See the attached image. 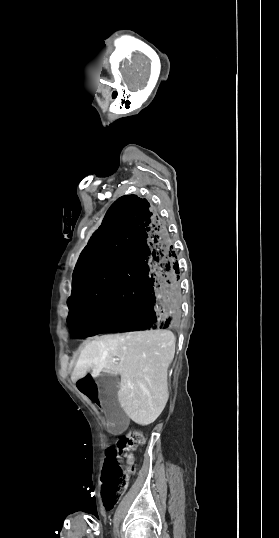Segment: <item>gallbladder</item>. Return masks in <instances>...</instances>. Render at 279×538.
Here are the masks:
<instances>
[{
    "instance_id": "bac80fb5",
    "label": "gallbladder",
    "mask_w": 279,
    "mask_h": 538,
    "mask_svg": "<svg viewBox=\"0 0 279 538\" xmlns=\"http://www.w3.org/2000/svg\"><path fill=\"white\" fill-rule=\"evenodd\" d=\"M96 384L102 392L103 401L102 408L105 410L106 418H109L112 425L113 433H122L127 426L129 415L125 413L122 404H113L117 398V392L120 390L119 378L117 376H109V374H100L96 380Z\"/></svg>"
}]
</instances>
